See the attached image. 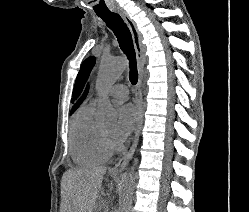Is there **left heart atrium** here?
Masks as SVG:
<instances>
[{
	"mask_svg": "<svg viewBox=\"0 0 249 212\" xmlns=\"http://www.w3.org/2000/svg\"><path fill=\"white\" fill-rule=\"evenodd\" d=\"M138 119L136 108L131 104L119 108L117 121L111 134V143L116 148H121L134 130Z\"/></svg>",
	"mask_w": 249,
	"mask_h": 212,
	"instance_id": "obj_1",
	"label": "left heart atrium"
}]
</instances>
